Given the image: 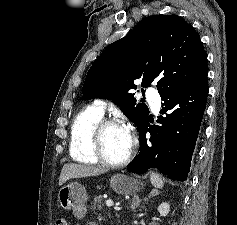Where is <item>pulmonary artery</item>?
Instances as JSON below:
<instances>
[{"label":"pulmonary artery","mask_w":237,"mask_h":225,"mask_svg":"<svg viewBox=\"0 0 237 225\" xmlns=\"http://www.w3.org/2000/svg\"><path fill=\"white\" fill-rule=\"evenodd\" d=\"M147 99L150 102L153 109L157 111L160 107V98L158 93L152 89H147ZM96 104L97 107L103 112L105 103L102 100H98Z\"/></svg>","instance_id":"obj_1"}]
</instances>
